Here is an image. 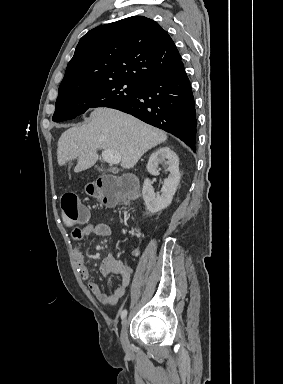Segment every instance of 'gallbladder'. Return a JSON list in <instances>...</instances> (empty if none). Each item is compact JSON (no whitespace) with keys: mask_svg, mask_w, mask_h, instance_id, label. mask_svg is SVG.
Masks as SVG:
<instances>
[{"mask_svg":"<svg viewBox=\"0 0 283 384\" xmlns=\"http://www.w3.org/2000/svg\"><path fill=\"white\" fill-rule=\"evenodd\" d=\"M101 170H102L103 172H108V171L110 170V167H109L108 165H103V166L101 167Z\"/></svg>","mask_w":283,"mask_h":384,"instance_id":"bac80fb5","label":"gallbladder"}]
</instances>
